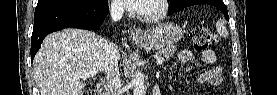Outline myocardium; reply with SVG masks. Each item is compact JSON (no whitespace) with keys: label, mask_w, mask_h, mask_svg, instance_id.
Returning a JSON list of instances; mask_svg holds the SVG:
<instances>
[{"label":"myocardium","mask_w":277,"mask_h":95,"mask_svg":"<svg viewBox=\"0 0 277 95\" xmlns=\"http://www.w3.org/2000/svg\"><path fill=\"white\" fill-rule=\"evenodd\" d=\"M158 1L160 8L156 13H152V14H144L139 10H134V13L136 14V16L141 19L142 21L145 22H156L158 20H160L161 18H163L169 8V4H168V0H156Z\"/></svg>","instance_id":"myocardium-1"}]
</instances>
